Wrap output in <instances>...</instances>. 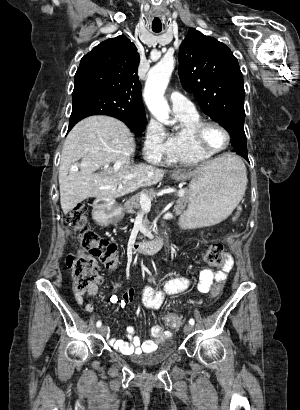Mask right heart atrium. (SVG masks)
<instances>
[{"label": "right heart atrium", "instance_id": "right-heart-atrium-1", "mask_svg": "<svg viewBox=\"0 0 300 410\" xmlns=\"http://www.w3.org/2000/svg\"><path fill=\"white\" fill-rule=\"evenodd\" d=\"M167 133L155 119H150L145 129L143 152L150 160L158 161L165 150Z\"/></svg>", "mask_w": 300, "mask_h": 410}]
</instances>
